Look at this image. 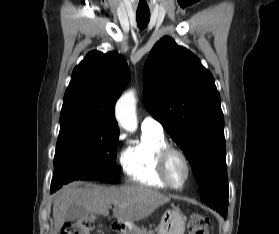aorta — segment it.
<instances>
[{
    "label": "aorta",
    "mask_w": 279,
    "mask_h": 234,
    "mask_svg": "<svg viewBox=\"0 0 279 234\" xmlns=\"http://www.w3.org/2000/svg\"><path fill=\"white\" fill-rule=\"evenodd\" d=\"M134 90L125 92L117 101L115 115L119 125L126 131L134 132L138 127Z\"/></svg>",
    "instance_id": "aorta-1"
}]
</instances>
